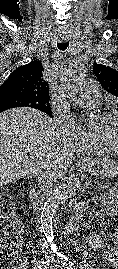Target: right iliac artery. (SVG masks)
<instances>
[{
  "mask_svg": "<svg viewBox=\"0 0 118 269\" xmlns=\"http://www.w3.org/2000/svg\"><path fill=\"white\" fill-rule=\"evenodd\" d=\"M47 266H49V260L39 262L37 268L38 269H47Z\"/></svg>",
  "mask_w": 118,
  "mask_h": 269,
  "instance_id": "1",
  "label": "right iliac artery"
}]
</instances>
